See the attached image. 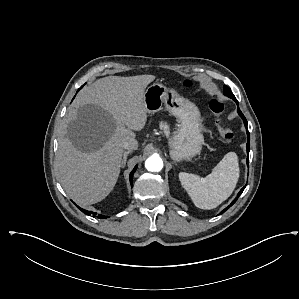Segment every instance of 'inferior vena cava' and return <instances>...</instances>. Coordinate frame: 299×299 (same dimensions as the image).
<instances>
[{
  "label": "inferior vena cava",
  "mask_w": 299,
  "mask_h": 299,
  "mask_svg": "<svg viewBox=\"0 0 299 299\" xmlns=\"http://www.w3.org/2000/svg\"><path fill=\"white\" fill-rule=\"evenodd\" d=\"M122 147L129 151L136 150L138 148V142L135 138H127L123 141Z\"/></svg>",
  "instance_id": "inferior-vena-cava-1"
}]
</instances>
